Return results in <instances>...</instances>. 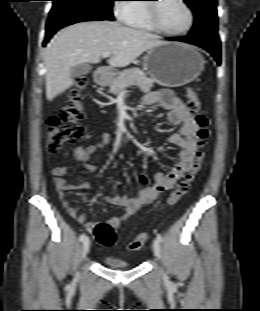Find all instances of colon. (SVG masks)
Listing matches in <instances>:
<instances>
[{"label": "colon", "mask_w": 260, "mask_h": 311, "mask_svg": "<svg viewBox=\"0 0 260 311\" xmlns=\"http://www.w3.org/2000/svg\"><path fill=\"white\" fill-rule=\"evenodd\" d=\"M86 86L85 78H78L76 85L69 91L68 101L59 113L47 121V151L51 154L60 152L65 144L78 142L84 135V126L80 123L84 115L82 91ZM187 109L194 115L198 126L196 159L192 170L181 180L167 198L169 206L175 205L189 191L190 185L199 172L205 159V147L210 135L209 119L200 111V102L197 93L188 89ZM96 240L103 246H112L116 242V229L109 222L96 224L93 230ZM148 234L140 233L129 243L130 251H139L144 247Z\"/></svg>", "instance_id": "obj_1"}]
</instances>
